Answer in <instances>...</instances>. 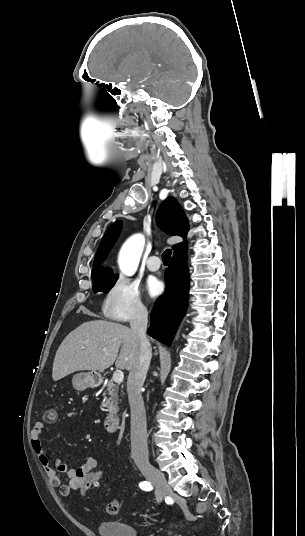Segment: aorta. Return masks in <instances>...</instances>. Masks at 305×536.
<instances>
[{
	"label": "aorta",
	"mask_w": 305,
	"mask_h": 536,
	"mask_svg": "<svg viewBox=\"0 0 305 536\" xmlns=\"http://www.w3.org/2000/svg\"><path fill=\"white\" fill-rule=\"evenodd\" d=\"M144 245L145 238L142 234H135L124 243L118 258L119 268L123 274L132 276L136 272Z\"/></svg>",
	"instance_id": "762f6f07"
}]
</instances>
